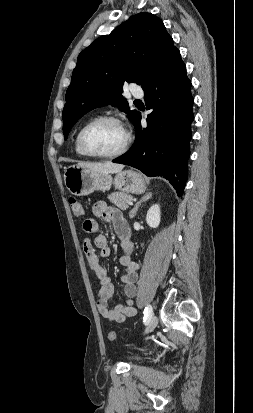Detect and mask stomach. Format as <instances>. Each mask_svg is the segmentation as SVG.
Masks as SVG:
<instances>
[{
    "instance_id": "stomach-1",
    "label": "stomach",
    "mask_w": 253,
    "mask_h": 413,
    "mask_svg": "<svg viewBox=\"0 0 253 413\" xmlns=\"http://www.w3.org/2000/svg\"><path fill=\"white\" fill-rule=\"evenodd\" d=\"M64 183L72 195L87 196L95 190L108 191L112 185L125 193L141 194L146 190L142 175L134 170H121L113 177L110 173L90 171L72 165L64 172Z\"/></svg>"
}]
</instances>
